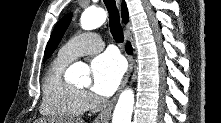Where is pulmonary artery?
<instances>
[{
    "instance_id": "1",
    "label": "pulmonary artery",
    "mask_w": 221,
    "mask_h": 123,
    "mask_svg": "<svg viewBox=\"0 0 221 123\" xmlns=\"http://www.w3.org/2000/svg\"><path fill=\"white\" fill-rule=\"evenodd\" d=\"M104 42L96 33H83L69 40L58 52V57L72 61L82 55L100 52Z\"/></svg>"
}]
</instances>
